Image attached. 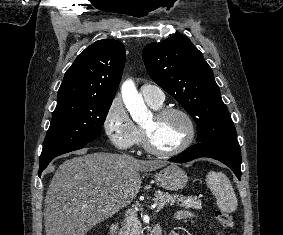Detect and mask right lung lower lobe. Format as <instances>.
<instances>
[{
	"mask_svg": "<svg viewBox=\"0 0 283 235\" xmlns=\"http://www.w3.org/2000/svg\"><path fill=\"white\" fill-rule=\"evenodd\" d=\"M87 143H79V144H76V145H73L65 150H62L61 152L55 154L54 156L50 157L49 159L45 160V161H41L39 163V176H41V172L48 166V164L50 163V161L55 158L56 156H59L61 154H64V153H68V152H71V151H74V150H78V149H81L83 147L86 146Z\"/></svg>",
	"mask_w": 283,
	"mask_h": 235,
	"instance_id": "obj_1",
	"label": "right lung lower lobe"
}]
</instances>
